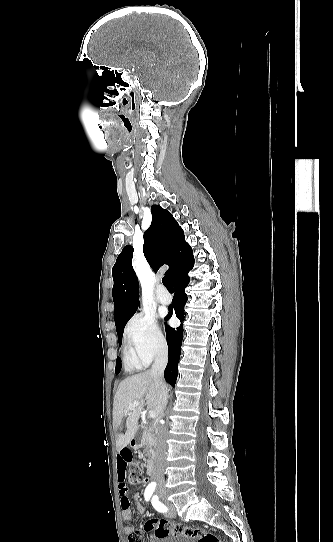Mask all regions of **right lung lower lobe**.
Wrapping results in <instances>:
<instances>
[{
    "label": "right lung lower lobe",
    "mask_w": 333,
    "mask_h": 542,
    "mask_svg": "<svg viewBox=\"0 0 333 542\" xmlns=\"http://www.w3.org/2000/svg\"><path fill=\"white\" fill-rule=\"evenodd\" d=\"M193 264V252L191 247L188 245L177 254L172 265L170 277L175 289V294L172 304L169 306V313L165 317V320H168L173 313L176 314L177 318L181 322L184 320V305L187 301V296L184 290L189 283L188 272L192 269ZM166 337L169 359L164 376L165 380L174 387L177 379L178 361L181 354L183 326L181 325L175 329L166 325Z\"/></svg>",
    "instance_id": "obj_1"
}]
</instances>
